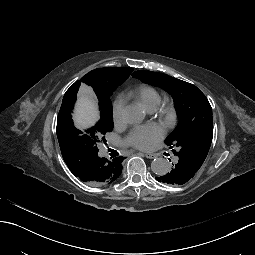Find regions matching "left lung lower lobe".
<instances>
[{"label":"left lung lower lobe","mask_w":255,"mask_h":255,"mask_svg":"<svg viewBox=\"0 0 255 255\" xmlns=\"http://www.w3.org/2000/svg\"><path fill=\"white\" fill-rule=\"evenodd\" d=\"M193 179V172L190 169H183L182 164L177 162L171 167V170L164 174L158 175L156 180L159 183H165L167 186L186 187Z\"/></svg>","instance_id":"1"}]
</instances>
